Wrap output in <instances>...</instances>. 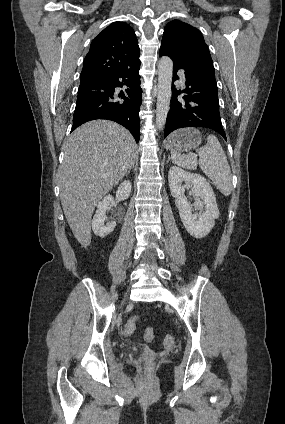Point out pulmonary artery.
<instances>
[{"label":"pulmonary artery","instance_id":"1","mask_svg":"<svg viewBox=\"0 0 285 424\" xmlns=\"http://www.w3.org/2000/svg\"><path fill=\"white\" fill-rule=\"evenodd\" d=\"M180 72H183V70H180ZM182 80H184V78L182 77Z\"/></svg>","mask_w":285,"mask_h":424}]
</instances>
